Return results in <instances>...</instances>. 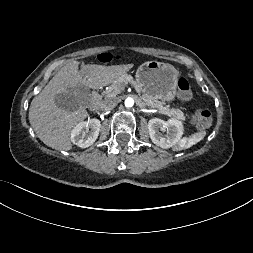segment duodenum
<instances>
[{
    "instance_id": "obj_1",
    "label": "duodenum",
    "mask_w": 253,
    "mask_h": 253,
    "mask_svg": "<svg viewBox=\"0 0 253 253\" xmlns=\"http://www.w3.org/2000/svg\"><path fill=\"white\" fill-rule=\"evenodd\" d=\"M99 105H100V96L98 92L94 91L91 96L89 108L94 111L98 109Z\"/></svg>"
}]
</instances>
